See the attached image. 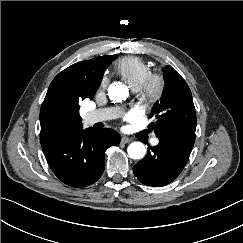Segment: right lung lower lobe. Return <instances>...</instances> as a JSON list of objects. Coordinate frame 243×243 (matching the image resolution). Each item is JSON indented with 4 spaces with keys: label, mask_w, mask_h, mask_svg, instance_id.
<instances>
[{
    "label": "right lung lower lobe",
    "mask_w": 243,
    "mask_h": 243,
    "mask_svg": "<svg viewBox=\"0 0 243 243\" xmlns=\"http://www.w3.org/2000/svg\"><path fill=\"white\" fill-rule=\"evenodd\" d=\"M121 136L112 129L79 128L40 139L48 164L66 185L86 187L103 174L107 148L118 145Z\"/></svg>",
    "instance_id": "1"
}]
</instances>
